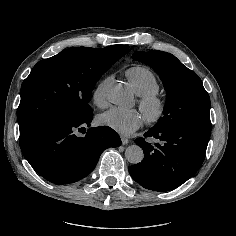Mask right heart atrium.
<instances>
[{
  "label": "right heart atrium",
  "mask_w": 236,
  "mask_h": 236,
  "mask_svg": "<svg viewBox=\"0 0 236 236\" xmlns=\"http://www.w3.org/2000/svg\"><path fill=\"white\" fill-rule=\"evenodd\" d=\"M108 79L103 80L93 91V101L95 104L100 105L104 102L105 96H104V86L106 84Z\"/></svg>",
  "instance_id": "right-heart-atrium-1"
}]
</instances>
